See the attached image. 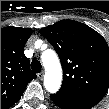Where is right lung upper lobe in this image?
<instances>
[{
	"label": "right lung upper lobe",
	"mask_w": 109,
	"mask_h": 109,
	"mask_svg": "<svg viewBox=\"0 0 109 109\" xmlns=\"http://www.w3.org/2000/svg\"><path fill=\"white\" fill-rule=\"evenodd\" d=\"M30 28L1 29V109H8L23 94L27 84L36 78L24 55V46L31 36Z\"/></svg>",
	"instance_id": "right-lung-upper-lobe-1"
}]
</instances>
